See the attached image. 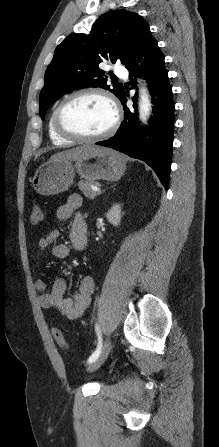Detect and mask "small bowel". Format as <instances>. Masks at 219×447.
<instances>
[{
    "label": "small bowel",
    "instance_id": "small-bowel-1",
    "mask_svg": "<svg viewBox=\"0 0 219 447\" xmlns=\"http://www.w3.org/2000/svg\"><path fill=\"white\" fill-rule=\"evenodd\" d=\"M82 197L78 194L69 196L67 202L61 205L56 211V221L63 223L68 221L75 211L82 206ZM72 233L75 238L74 246L77 250H83L85 246L84 222L80 215H77L72 224ZM60 236L59 229H51L38 240V248L42 251L51 247L52 255L58 259H66L69 256V246L64 243H56ZM94 278L90 275L84 276L79 284L78 290L71 297H64L65 280L57 278L50 290L46 292V285L41 280L34 282V287L38 292V302L43 308L57 309L68 319L80 318L90 305L91 295L94 291Z\"/></svg>",
    "mask_w": 219,
    "mask_h": 447
}]
</instances>
